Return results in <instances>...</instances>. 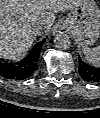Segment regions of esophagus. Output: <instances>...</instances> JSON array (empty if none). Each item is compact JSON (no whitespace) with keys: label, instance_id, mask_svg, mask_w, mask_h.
<instances>
[{"label":"esophagus","instance_id":"esophagus-1","mask_svg":"<svg viewBox=\"0 0 100 118\" xmlns=\"http://www.w3.org/2000/svg\"><path fill=\"white\" fill-rule=\"evenodd\" d=\"M53 34H65L69 33V24L67 20L58 22L52 29Z\"/></svg>","mask_w":100,"mask_h":118}]
</instances>
